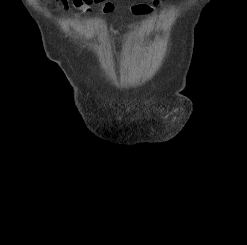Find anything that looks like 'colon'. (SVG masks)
Here are the masks:
<instances>
[{
    "label": "colon",
    "instance_id": "obj_1",
    "mask_svg": "<svg viewBox=\"0 0 247 245\" xmlns=\"http://www.w3.org/2000/svg\"><path fill=\"white\" fill-rule=\"evenodd\" d=\"M101 0H94V2H100ZM112 7V4L111 3H106L105 6H104V10L105 11H108L110 10Z\"/></svg>",
    "mask_w": 247,
    "mask_h": 245
}]
</instances>
